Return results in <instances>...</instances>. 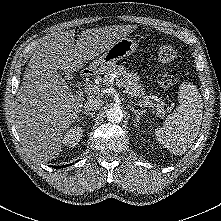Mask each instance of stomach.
<instances>
[{
    "mask_svg": "<svg viewBox=\"0 0 221 221\" xmlns=\"http://www.w3.org/2000/svg\"><path fill=\"white\" fill-rule=\"evenodd\" d=\"M138 42L131 38H121L116 41L105 53L90 64V70L95 73H106L113 68L118 61L128 57L138 48Z\"/></svg>",
    "mask_w": 221,
    "mask_h": 221,
    "instance_id": "1",
    "label": "stomach"
}]
</instances>
